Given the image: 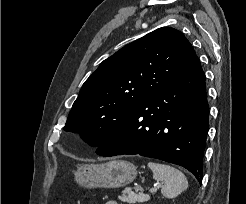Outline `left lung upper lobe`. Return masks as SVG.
<instances>
[{
    "instance_id": "1",
    "label": "left lung upper lobe",
    "mask_w": 246,
    "mask_h": 204,
    "mask_svg": "<svg viewBox=\"0 0 246 204\" xmlns=\"http://www.w3.org/2000/svg\"><path fill=\"white\" fill-rule=\"evenodd\" d=\"M195 51L170 27L156 29L104 60L84 82L64 129L98 147L143 100L182 69Z\"/></svg>"
}]
</instances>
